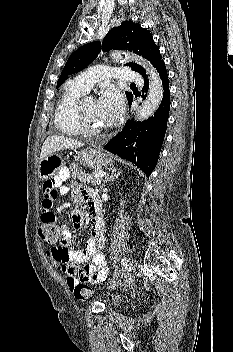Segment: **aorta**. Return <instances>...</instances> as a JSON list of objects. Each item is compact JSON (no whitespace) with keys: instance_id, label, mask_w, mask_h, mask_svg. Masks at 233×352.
<instances>
[{"instance_id":"762f6f07","label":"aorta","mask_w":233,"mask_h":352,"mask_svg":"<svg viewBox=\"0 0 233 352\" xmlns=\"http://www.w3.org/2000/svg\"><path fill=\"white\" fill-rule=\"evenodd\" d=\"M110 56L115 61L126 62L131 61L142 65L148 75L150 85L146 100L140 106L136 113V119L138 121H143L151 117L155 111L158 109L163 98V86L162 81L155 68L146 59L137 56L133 53L122 52V51H112Z\"/></svg>"}]
</instances>
